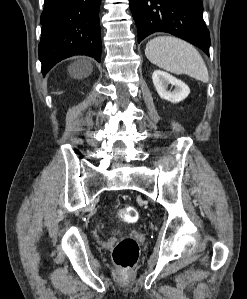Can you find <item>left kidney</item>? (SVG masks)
<instances>
[{
    "label": "left kidney",
    "mask_w": 247,
    "mask_h": 299,
    "mask_svg": "<svg viewBox=\"0 0 247 299\" xmlns=\"http://www.w3.org/2000/svg\"><path fill=\"white\" fill-rule=\"evenodd\" d=\"M152 80L159 96L172 103L184 100L190 93V89L185 83L164 71L155 70ZM169 84L175 87L173 91L167 90Z\"/></svg>",
    "instance_id": "1"
}]
</instances>
